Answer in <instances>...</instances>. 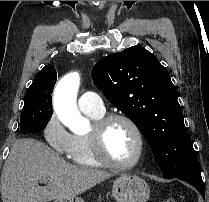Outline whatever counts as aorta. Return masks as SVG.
Wrapping results in <instances>:
<instances>
[{"label": "aorta", "instance_id": "obj_1", "mask_svg": "<svg viewBox=\"0 0 209 202\" xmlns=\"http://www.w3.org/2000/svg\"><path fill=\"white\" fill-rule=\"evenodd\" d=\"M79 85V73H69L57 84L53 98L54 110L58 118L74 133L86 132L89 128V121L77 109Z\"/></svg>", "mask_w": 209, "mask_h": 202}]
</instances>
